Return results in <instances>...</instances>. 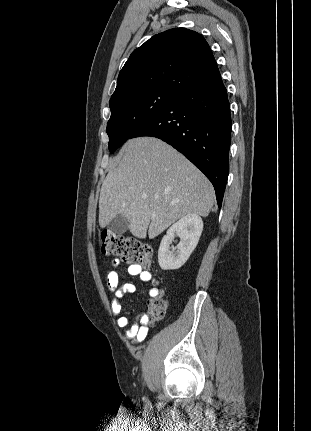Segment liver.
Segmentation results:
<instances>
[{"label": "liver", "instance_id": "6515ba94", "mask_svg": "<svg viewBox=\"0 0 311 431\" xmlns=\"http://www.w3.org/2000/svg\"><path fill=\"white\" fill-rule=\"evenodd\" d=\"M121 154L101 186L100 227L122 216L132 235L153 239L179 217L209 216L215 202L211 182L172 146L157 138H134Z\"/></svg>", "mask_w": 311, "mask_h": 431}]
</instances>
